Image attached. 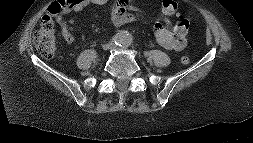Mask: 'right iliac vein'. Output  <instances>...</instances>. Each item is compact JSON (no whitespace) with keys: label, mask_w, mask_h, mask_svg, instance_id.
<instances>
[{"label":"right iliac vein","mask_w":253,"mask_h":143,"mask_svg":"<svg viewBox=\"0 0 253 143\" xmlns=\"http://www.w3.org/2000/svg\"><path fill=\"white\" fill-rule=\"evenodd\" d=\"M102 47H103V50H109L112 47V44L111 43H106Z\"/></svg>","instance_id":"right-iliac-vein-1"}]
</instances>
